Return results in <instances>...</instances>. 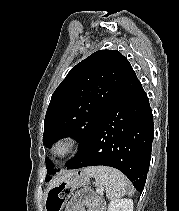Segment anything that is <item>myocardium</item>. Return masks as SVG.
Instances as JSON below:
<instances>
[{
  "label": "myocardium",
  "mask_w": 179,
  "mask_h": 211,
  "mask_svg": "<svg viewBox=\"0 0 179 211\" xmlns=\"http://www.w3.org/2000/svg\"><path fill=\"white\" fill-rule=\"evenodd\" d=\"M76 144L77 139L74 135H63L53 142L50 155L54 160H64L74 151Z\"/></svg>",
  "instance_id": "obj_1"
}]
</instances>
